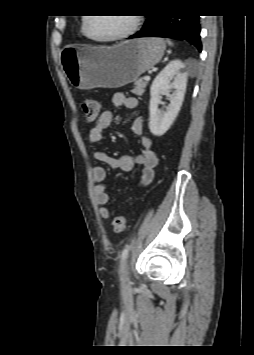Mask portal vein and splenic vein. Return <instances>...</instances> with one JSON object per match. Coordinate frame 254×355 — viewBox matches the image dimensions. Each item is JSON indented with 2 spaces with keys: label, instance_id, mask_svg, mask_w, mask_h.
Returning a JSON list of instances; mask_svg holds the SVG:
<instances>
[{
  "label": "portal vein and splenic vein",
  "instance_id": "obj_1",
  "mask_svg": "<svg viewBox=\"0 0 254 355\" xmlns=\"http://www.w3.org/2000/svg\"><path fill=\"white\" fill-rule=\"evenodd\" d=\"M144 80L149 81V80H150V77H149V76H145V77H144Z\"/></svg>",
  "mask_w": 254,
  "mask_h": 355
}]
</instances>
